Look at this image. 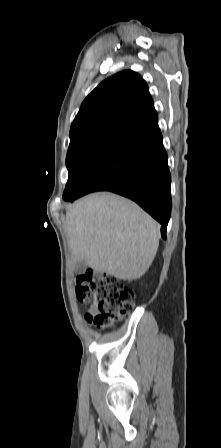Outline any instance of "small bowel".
Returning <instances> with one entry per match:
<instances>
[{"label": "small bowel", "instance_id": "obj_1", "mask_svg": "<svg viewBox=\"0 0 221 448\" xmlns=\"http://www.w3.org/2000/svg\"><path fill=\"white\" fill-rule=\"evenodd\" d=\"M95 311V309L93 307L89 308L87 313H93Z\"/></svg>", "mask_w": 221, "mask_h": 448}]
</instances>
